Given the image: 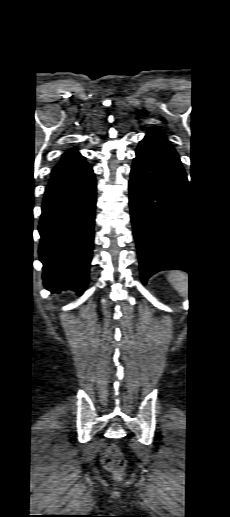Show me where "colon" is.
<instances>
[{"label":"colon","instance_id":"1","mask_svg":"<svg viewBox=\"0 0 230 517\" xmlns=\"http://www.w3.org/2000/svg\"><path fill=\"white\" fill-rule=\"evenodd\" d=\"M102 465L109 472L121 476L125 469V459L116 444H106L102 449Z\"/></svg>","mask_w":230,"mask_h":517}]
</instances>
